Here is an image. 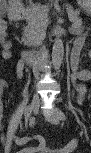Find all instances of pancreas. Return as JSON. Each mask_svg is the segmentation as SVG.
I'll list each match as a JSON object with an SVG mask.
<instances>
[{
  "label": "pancreas",
  "instance_id": "obj_1",
  "mask_svg": "<svg viewBox=\"0 0 91 153\" xmlns=\"http://www.w3.org/2000/svg\"><path fill=\"white\" fill-rule=\"evenodd\" d=\"M48 6H35L26 16L28 25L23 32L22 40L26 45H35L39 42L42 34H44V22L47 17ZM68 15L70 21L73 23V30L77 31L81 28L82 21L78 17V13L68 8Z\"/></svg>",
  "mask_w": 91,
  "mask_h": 153
}]
</instances>
